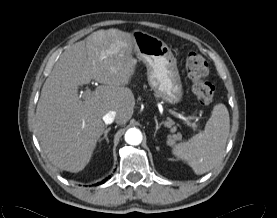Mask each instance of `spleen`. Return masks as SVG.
Instances as JSON below:
<instances>
[{"label": "spleen", "instance_id": "1", "mask_svg": "<svg viewBox=\"0 0 277 218\" xmlns=\"http://www.w3.org/2000/svg\"><path fill=\"white\" fill-rule=\"evenodd\" d=\"M230 131V118L226 106L218 103L203 132L186 142L173 146L172 152L187 161L198 175L210 171L222 158Z\"/></svg>", "mask_w": 277, "mask_h": 218}]
</instances>
